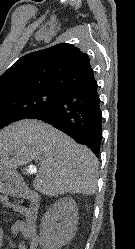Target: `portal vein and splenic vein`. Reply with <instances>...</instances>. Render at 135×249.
I'll return each instance as SVG.
<instances>
[{
  "label": "portal vein and splenic vein",
  "instance_id": "obj_1",
  "mask_svg": "<svg viewBox=\"0 0 135 249\" xmlns=\"http://www.w3.org/2000/svg\"><path fill=\"white\" fill-rule=\"evenodd\" d=\"M30 170H31V172H36L37 171L35 166H31Z\"/></svg>",
  "mask_w": 135,
  "mask_h": 249
}]
</instances>
